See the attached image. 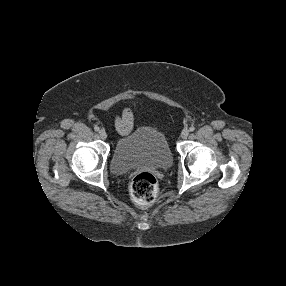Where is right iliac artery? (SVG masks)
<instances>
[{
    "label": "right iliac artery",
    "instance_id": "1",
    "mask_svg": "<svg viewBox=\"0 0 286 286\" xmlns=\"http://www.w3.org/2000/svg\"><path fill=\"white\" fill-rule=\"evenodd\" d=\"M94 130H95V131H99L100 128H99L98 126H95V127H94Z\"/></svg>",
    "mask_w": 286,
    "mask_h": 286
}]
</instances>
